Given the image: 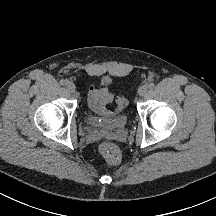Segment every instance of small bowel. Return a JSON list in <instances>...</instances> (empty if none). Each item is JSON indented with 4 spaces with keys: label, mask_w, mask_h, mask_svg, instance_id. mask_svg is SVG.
Wrapping results in <instances>:
<instances>
[{
    "label": "small bowel",
    "mask_w": 216,
    "mask_h": 216,
    "mask_svg": "<svg viewBox=\"0 0 216 216\" xmlns=\"http://www.w3.org/2000/svg\"><path fill=\"white\" fill-rule=\"evenodd\" d=\"M108 79L103 81V85L100 87H91L88 92V104L91 110L101 116H111L112 112L107 108L113 100V95L109 91L106 84Z\"/></svg>",
    "instance_id": "obj_1"
}]
</instances>
